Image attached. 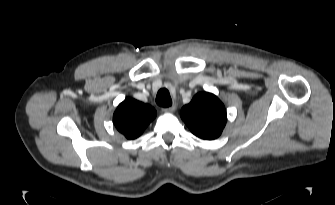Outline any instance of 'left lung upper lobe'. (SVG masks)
Listing matches in <instances>:
<instances>
[{
  "label": "left lung upper lobe",
  "instance_id": "obj_1",
  "mask_svg": "<svg viewBox=\"0 0 335 205\" xmlns=\"http://www.w3.org/2000/svg\"><path fill=\"white\" fill-rule=\"evenodd\" d=\"M181 118L194 135L206 140L218 138L227 120L223 103L207 92L196 94L181 109Z\"/></svg>",
  "mask_w": 335,
  "mask_h": 205
}]
</instances>
